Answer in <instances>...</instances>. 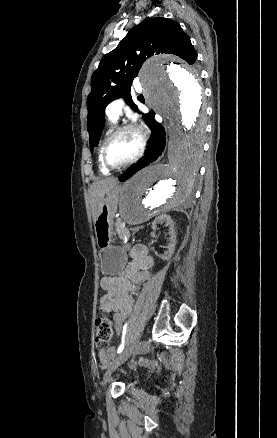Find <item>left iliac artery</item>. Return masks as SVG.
<instances>
[{"mask_svg": "<svg viewBox=\"0 0 277 438\" xmlns=\"http://www.w3.org/2000/svg\"><path fill=\"white\" fill-rule=\"evenodd\" d=\"M126 329H127V323L123 326L122 341L120 346L118 347L117 353H121L124 349Z\"/></svg>", "mask_w": 277, "mask_h": 438, "instance_id": "obj_1", "label": "left iliac artery"}]
</instances>
